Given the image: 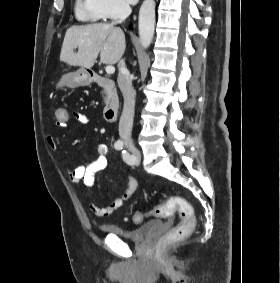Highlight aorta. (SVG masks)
I'll use <instances>...</instances> for the list:
<instances>
[{"mask_svg":"<svg viewBox=\"0 0 280 283\" xmlns=\"http://www.w3.org/2000/svg\"><path fill=\"white\" fill-rule=\"evenodd\" d=\"M155 29V0H144L139 11V37L143 48L152 43Z\"/></svg>","mask_w":280,"mask_h":283,"instance_id":"1","label":"aorta"}]
</instances>
